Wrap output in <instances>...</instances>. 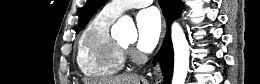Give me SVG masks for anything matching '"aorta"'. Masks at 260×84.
I'll use <instances>...</instances> for the list:
<instances>
[{"instance_id": "762f6f07", "label": "aorta", "mask_w": 260, "mask_h": 84, "mask_svg": "<svg viewBox=\"0 0 260 84\" xmlns=\"http://www.w3.org/2000/svg\"><path fill=\"white\" fill-rule=\"evenodd\" d=\"M120 34L129 40L137 37V30L133 20L129 16H122L116 23ZM171 38L174 48V73L172 84H184L189 69V44L178 23H173Z\"/></svg>"}]
</instances>
